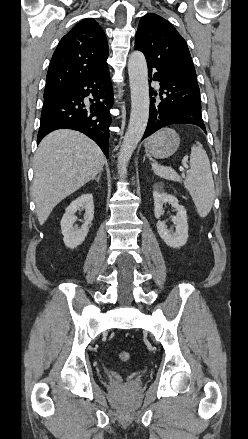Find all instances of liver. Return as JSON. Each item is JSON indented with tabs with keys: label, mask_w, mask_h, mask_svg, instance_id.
<instances>
[{
	"label": "liver",
	"mask_w": 248,
	"mask_h": 439,
	"mask_svg": "<svg viewBox=\"0 0 248 439\" xmlns=\"http://www.w3.org/2000/svg\"><path fill=\"white\" fill-rule=\"evenodd\" d=\"M105 157L86 135L67 129L48 134L34 156L32 196L43 225L54 207L103 169Z\"/></svg>",
	"instance_id": "1"
}]
</instances>
